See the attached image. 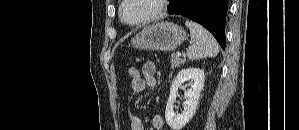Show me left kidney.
Segmentation results:
<instances>
[{
    "label": "left kidney",
    "mask_w": 299,
    "mask_h": 130,
    "mask_svg": "<svg viewBox=\"0 0 299 130\" xmlns=\"http://www.w3.org/2000/svg\"><path fill=\"white\" fill-rule=\"evenodd\" d=\"M204 79V72L199 68L182 69L178 72L172 82L165 110L166 122L173 130H181L195 114ZM188 80H191V87L184 94L186 101L183 111L180 114H175L173 107L178 88Z\"/></svg>",
    "instance_id": "left-kidney-1"
}]
</instances>
